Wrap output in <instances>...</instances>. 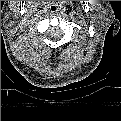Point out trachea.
I'll list each match as a JSON object with an SVG mask.
<instances>
[{"label":"trachea","mask_w":121,"mask_h":121,"mask_svg":"<svg viewBox=\"0 0 121 121\" xmlns=\"http://www.w3.org/2000/svg\"><path fill=\"white\" fill-rule=\"evenodd\" d=\"M49 11L53 14L58 13L60 10V7L57 3L53 2L49 5Z\"/></svg>","instance_id":"3493384b"}]
</instances>
